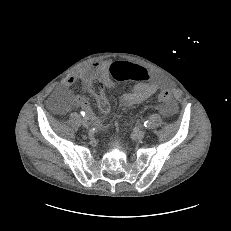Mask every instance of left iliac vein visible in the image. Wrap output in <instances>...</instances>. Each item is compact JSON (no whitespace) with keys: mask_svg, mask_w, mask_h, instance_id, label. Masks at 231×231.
Returning a JSON list of instances; mask_svg holds the SVG:
<instances>
[{"mask_svg":"<svg viewBox=\"0 0 231 231\" xmlns=\"http://www.w3.org/2000/svg\"><path fill=\"white\" fill-rule=\"evenodd\" d=\"M145 136V131L144 130H139V129H135L133 131V137L137 140H141L143 139Z\"/></svg>","mask_w":231,"mask_h":231,"instance_id":"4c4485c4","label":"left iliac vein"}]
</instances>
